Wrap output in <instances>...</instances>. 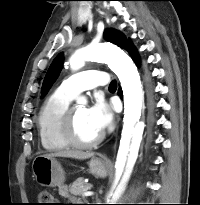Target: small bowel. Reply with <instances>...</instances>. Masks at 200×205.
<instances>
[{"mask_svg":"<svg viewBox=\"0 0 200 205\" xmlns=\"http://www.w3.org/2000/svg\"><path fill=\"white\" fill-rule=\"evenodd\" d=\"M59 193H60L62 196H67V195H68L67 188H66L65 186H60V187H59Z\"/></svg>","mask_w":200,"mask_h":205,"instance_id":"small-bowel-1","label":"small bowel"}]
</instances>
